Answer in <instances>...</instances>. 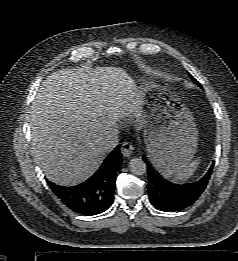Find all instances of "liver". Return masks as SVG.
Masks as SVG:
<instances>
[{
    "mask_svg": "<svg viewBox=\"0 0 238 261\" xmlns=\"http://www.w3.org/2000/svg\"><path fill=\"white\" fill-rule=\"evenodd\" d=\"M143 99L121 68L62 69L40 86L30 111L31 153L46 177L62 186L88 179L109 151L108 132L124 116L144 124Z\"/></svg>",
    "mask_w": 238,
    "mask_h": 261,
    "instance_id": "6515ba94",
    "label": "liver"
}]
</instances>
